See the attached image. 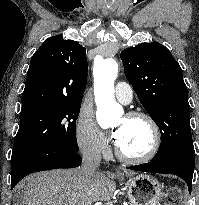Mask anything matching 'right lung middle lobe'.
<instances>
[{"label":"right lung middle lobe","mask_w":199,"mask_h":205,"mask_svg":"<svg viewBox=\"0 0 199 205\" xmlns=\"http://www.w3.org/2000/svg\"><path fill=\"white\" fill-rule=\"evenodd\" d=\"M80 106L81 104H54L21 111L11 161L49 147L77 152L79 148L75 125Z\"/></svg>","instance_id":"obj_1"}]
</instances>
